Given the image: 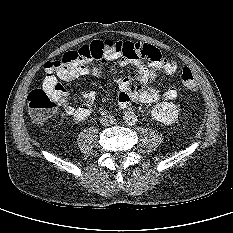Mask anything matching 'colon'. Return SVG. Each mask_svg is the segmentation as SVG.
Listing matches in <instances>:
<instances>
[{"mask_svg": "<svg viewBox=\"0 0 233 233\" xmlns=\"http://www.w3.org/2000/svg\"><path fill=\"white\" fill-rule=\"evenodd\" d=\"M106 45L100 41L90 45H84L78 50L66 52L61 59L47 62L53 69L67 68L82 60L100 59L103 56ZM182 85L195 90L197 87L192 71L185 67L180 74ZM29 114L34 121L41 122L49 118L56 110L58 100L53 92L44 88L32 90L27 97Z\"/></svg>", "mask_w": 233, "mask_h": 233, "instance_id": "colon-1", "label": "colon"}]
</instances>
